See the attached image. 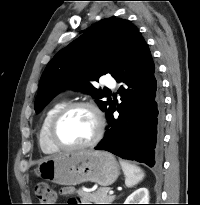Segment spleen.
<instances>
[{"label":"spleen","mask_w":200,"mask_h":205,"mask_svg":"<svg viewBox=\"0 0 200 205\" xmlns=\"http://www.w3.org/2000/svg\"><path fill=\"white\" fill-rule=\"evenodd\" d=\"M120 164L125 175V185L127 187H133L144 178L145 174L140 167L126 161H120Z\"/></svg>","instance_id":"1"}]
</instances>
